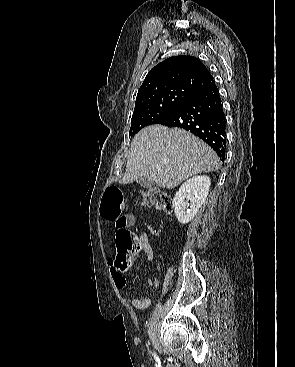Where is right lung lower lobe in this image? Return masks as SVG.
Instances as JSON below:
<instances>
[{"label":"right lung lower lobe","instance_id":"obj_1","mask_svg":"<svg viewBox=\"0 0 295 367\" xmlns=\"http://www.w3.org/2000/svg\"><path fill=\"white\" fill-rule=\"evenodd\" d=\"M157 124L190 131L211 146L224 161L226 119L214 81L193 92L170 115Z\"/></svg>","mask_w":295,"mask_h":367}]
</instances>
